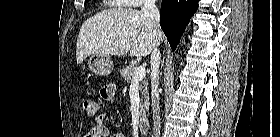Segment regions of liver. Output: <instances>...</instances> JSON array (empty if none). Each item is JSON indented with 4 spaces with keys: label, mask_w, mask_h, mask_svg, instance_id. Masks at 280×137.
<instances>
[{
    "label": "liver",
    "mask_w": 280,
    "mask_h": 137,
    "mask_svg": "<svg viewBox=\"0 0 280 137\" xmlns=\"http://www.w3.org/2000/svg\"><path fill=\"white\" fill-rule=\"evenodd\" d=\"M162 39V33L154 34L148 18L141 11L103 10L81 26L77 39V64L93 54L124 56L130 52L131 57L147 56Z\"/></svg>",
    "instance_id": "liver-1"
}]
</instances>
